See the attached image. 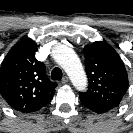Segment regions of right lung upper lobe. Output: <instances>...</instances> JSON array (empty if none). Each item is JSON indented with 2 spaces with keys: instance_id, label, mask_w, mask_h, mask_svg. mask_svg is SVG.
Returning a JSON list of instances; mask_svg holds the SVG:
<instances>
[{
  "instance_id": "1",
  "label": "right lung upper lobe",
  "mask_w": 133,
  "mask_h": 133,
  "mask_svg": "<svg viewBox=\"0 0 133 133\" xmlns=\"http://www.w3.org/2000/svg\"><path fill=\"white\" fill-rule=\"evenodd\" d=\"M36 51L32 39H23L11 48L0 69L1 95L23 113L38 111L48 104L57 86L47 77L44 63L36 60Z\"/></svg>"
}]
</instances>
